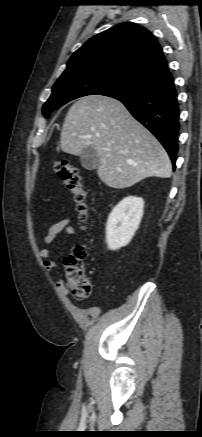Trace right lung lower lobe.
Segmentation results:
<instances>
[{
	"instance_id": "98d812e1",
	"label": "right lung lower lobe",
	"mask_w": 202,
	"mask_h": 437,
	"mask_svg": "<svg viewBox=\"0 0 202 437\" xmlns=\"http://www.w3.org/2000/svg\"><path fill=\"white\" fill-rule=\"evenodd\" d=\"M113 98L121 101L131 114L157 137L175 167L179 107L171 73L166 71L134 94H122Z\"/></svg>"
}]
</instances>
